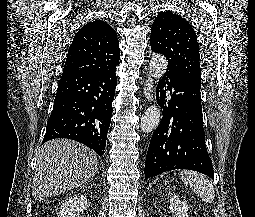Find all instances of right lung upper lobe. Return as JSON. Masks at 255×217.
<instances>
[{
    "mask_svg": "<svg viewBox=\"0 0 255 217\" xmlns=\"http://www.w3.org/2000/svg\"><path fill=\"white\" fill-rule=\"evenodd\" d=\"M119 59L115 30L103 20H94L75 34L63 73H107L115 70Z\"/></svg>",
    "mask_w": 255,
    "mask_h": 217,
    "instance_id": "1",
    "label": "right lung upper lobe"
}]
</instances>
